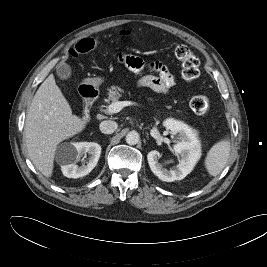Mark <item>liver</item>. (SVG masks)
<instances>
[{
	"label": "liver",
	"mask_w": 267,
	"mask_h": 267,
	"mask_svg": "<svg viewBox=\"0 0 267 267\" xmlns=\"http://www.w3.org/2000/svg\"><path fill=\"white\" fill-rule=\"evenodd\" d=\"M85 121L71 106L50 74L28 108L24 137L28 155L44 176L51 177L57 145L85 129Z\"/></svg>",
	"instance_id": "6515ba94"
}]
</instances>
